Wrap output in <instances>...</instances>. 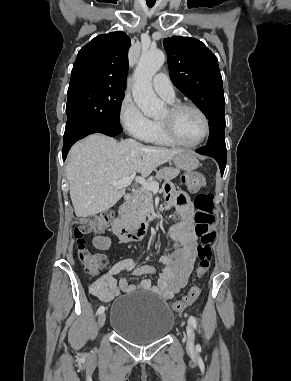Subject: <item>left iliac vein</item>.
Wrapping results in <instances>:
<instances>
[{
    "label": "left iliac vein",
    "mask_w": 291,
    "mask_h": 381,
    "mask_svg": "<svg viewBox=\"0 0 291 381\" xmlns=\"http://www.w3.org/2000/svg\"><path fill=\"white\" fill-rule=\"evenodd\" d=\"M186 333H187V348L189 350H194V339H195V334L192 326L188 324L186 326Z\"/></svg>",
    "instance_id": "4c4485c4"
}]
</instances>
